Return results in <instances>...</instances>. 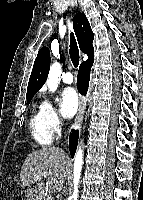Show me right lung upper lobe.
I'll return each instance as SVG.
<instances>
[{"instance_id":"right-lung-upper-lobe-1","label":"right lung upper lobe","mask_w":143,"mask_h":200,"mask_svg":"<svg viewBox=\"0 0 143 200\" xmlns=\"http://www.w3.org/2000/svg\"><path fill=\"white\" fill-rule=\"evenodd\" d=\"M73 27L77 36L80 50L87 54L88 58L93 56L94 34L90 24L83 13H78L73 18ZM50 67V52L47 47L39 50L35 59L32 73L29 79L26 98L32 99L35 93L44 85Z\"/></svg>"}]
</instances>
